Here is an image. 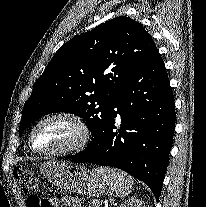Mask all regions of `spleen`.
Instances as JSON below:
<instances>
[{"instance_id":"spleen-1","label":"spleen","mask_w":206,"mask_h":207,"mask_svg":"<svg viewBox=\"0 0 206 207\" xmlns=\"http://www.w3.org/2000/svg\"><path fill=\"white\" fill-rule=\"evenodd\" d=\"M94 172L119 198H124L131 193L133 179L127 173L108 167H97L94 169Z\"/></svg>"}]
</instances>
